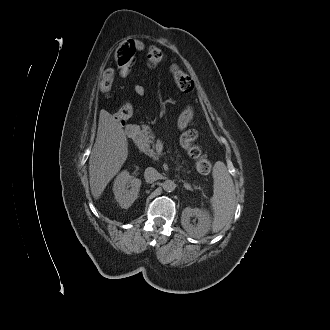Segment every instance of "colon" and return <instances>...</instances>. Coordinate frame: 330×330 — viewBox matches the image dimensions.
Here are the masks:
<instances>
[{
    "label": "colon",
    "mask_w": 330,
    "mask_h": 330,
    "mask_svg": "<svg viewBox=\"0 0 330 330\" xmlns=\"http://www.w3.org/2000/svg\"><path fill=\"white\" fill-rule=\"evenodd\" d=\"M135 47L132 41H128L121 45L115 51V60L119 66H125L134 60ZM165 54L162 49L151 46L146 52V62L150 68L157 67L164 61ZM172 78L175 82L177 88L184 92L190 93L194 89V82L182 71L177 65H173L170 69ZM113 82V72L112 70H105L102 74L100 89L104 94H109L111 91ZM129 107V115H131V108ZM116 118L122 121L116 113ZM198 132L194 129L187 130L183 133L181 137V144L187 151L188 155L194 160L195 167L197 171L201 174H208L211 170L212 164L209 157L203 152L201 146L197 143Z\"/></svg>",
    "instance_id": "5ec220e1"
}]
</instances>
